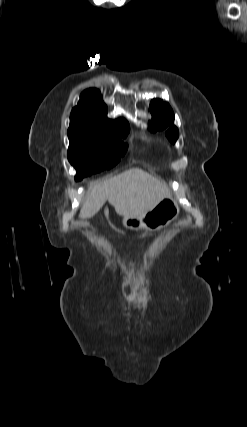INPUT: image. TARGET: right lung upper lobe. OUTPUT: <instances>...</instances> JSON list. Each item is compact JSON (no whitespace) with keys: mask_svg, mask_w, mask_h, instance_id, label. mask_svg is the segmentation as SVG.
<instances>
[{"mask_svg":"<svg viewBox=\"0 0 247 427\" xmlns=\"http://www.w3.org/2000/svg\"><path fill=\"white\" fill-rule=\"evenodd\" d=\"M100 91L88 89L80 95L78 105L72 109L70 122L83 125L115 129L129 126L126 120H110L107 118V107L100 101Z\"/></svg>","mask_w":247,"mask_h":427,"instance_id":"cb5924a9","label":"right lung upper lobe"}]
</instances>
